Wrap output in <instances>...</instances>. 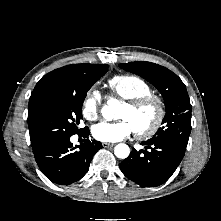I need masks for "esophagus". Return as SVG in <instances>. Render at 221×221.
<instances>
[{
	"instance_id": "esophagus-1",
	"label": "esophagus",
	"mask_w": 221,
	"mask_h": 221,
	"mask_svg": "<svg viewBox=\"0 0 221 221\" xmlns=\"http://www.w3.org/2000/svg\"><path fill=\"white\" fill-rule=\"evenodd\" d=\"M115 144H113V143H106V142H103L102 143V146L104 147V148H108V147H113Z\"/></svg>"
}]
</instances>
